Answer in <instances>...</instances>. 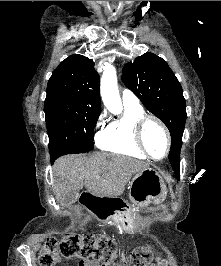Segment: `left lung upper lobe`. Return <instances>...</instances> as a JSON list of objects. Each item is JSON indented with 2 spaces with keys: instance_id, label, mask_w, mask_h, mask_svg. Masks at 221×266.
Instances as JSON below:
<instances>
[{
  "instance_id": "left-lung-upper-lobe-1",
  "label": "left lung upper lobe",
  "mask_w": 221,
  "mask_h": 266,
  "mask_svg": "<svg viewBox=\"0 0 221 266\" xmlns=\"http://www.w3.org/2000/svg\"><path fill=\"white\" fill-rule=\"evenodd\" d=\"M122 81L144 106L169 129L172 166L180 164L182 135L187 118L182 87L168 64L153 53H145L124 65Z\"/></svg>"
}]
</instances>
